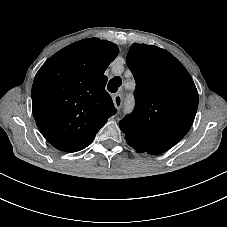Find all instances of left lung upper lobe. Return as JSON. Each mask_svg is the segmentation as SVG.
<instances>
[{
    "label": "left lung upper lobe",
    "instance_id": "1",
    "mask_svg": "<svg viewBox=\"0 0 227 227\" xmlns=\"http://www.w3.org/2000/svg\"><path fill=\"white\" fill-rule=\"evenodd\" d=\"M127 65L136 81V107L120 129L139 152L160 154L178 143L191 128L198 92L185 67L168 51L133 44Z\"/></svg>",
    "mask_w": 227,
    "mask_h": 227
}]
</instances>
